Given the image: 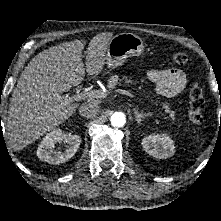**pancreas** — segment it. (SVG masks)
<instances>
[{
  "instance_id": "pancreas-1",
  "label": "pancreas",
  "mask_w": 221,
  "mask_h": 221,
  "mask_svg": "<svg viewBox=\"0 0 221 221\" xmlns=\"http://www.w3.org/2000/svg\"><path fill=\"white\" fill-rule=\"evenodd\" d=\"M121 81H124L125 85L132 84V80L128 79L126 76H123L122 79H121V78H119L118 75H113L108 80V87L110 89H113L117 84L121 85ZM161 106H162L161 109L165 113L169 114V118L174 120L175 119V112L170 109L169 105L167 103H162Z\"/></svg>"
}]
</instances>
